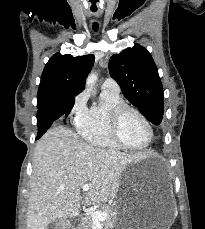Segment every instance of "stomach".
Masks as SVG:
<instances>
[{"label": "stomach", "instance_id": "0dacf381", "mask_svg": "<svg viewBox=\"0 0 205 229\" xmlns=\"http://www.w3.org/2000/svg\"><path fill=\"white\" fill-rule=\"evenodd\" d=\"M137 166H132L121 177L113 229H170L175 220L174 206L137 192Z\"/></svg>", "mask_w": 205, "mask_h": 229}]
</instances>
